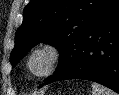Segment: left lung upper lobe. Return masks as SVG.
Returning a JSON list of instances; mask_svg holds the SVG:
<instances>
[{
  "instance_id": "left-lung-upper-lobe-1",
  "label": "left lung upper lobe",
  "mask_w": 119,
  "mask_h": 95,
  "mask_svg": "<svg viewBox=\"0 0 119 95\" xmlns=\"http://www.w3.org/2000/svg\"><path fill=\"white\" fill-rule=\"evenodd\" d=\"M114 1L31 0L24 8L22 25L15 34L11 64L15 66L32 46L44 42L60 51L59 65L52 76L66 71L75 60L81 37Z\"/></svg>"
}]
</instances>
